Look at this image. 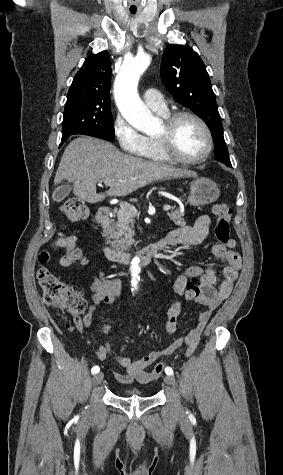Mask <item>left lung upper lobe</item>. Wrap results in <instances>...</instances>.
Masks as SVG:
<instances>
[{"label": "left lung upper lobe", "mask_w": 283, "mask_h": 475, "mask_svg": "<svg viewBox=\"0 0 283 475\" xmlns=\"http://www.w3.org/2000/svg\"><path fill=\"white\" fill-rule=\"evenodd\" d=\"M161 77L173 98L191 109L209 126L213 135L223 134V126L210 78L200 56L188 45L171 44L161 61Z\"/></svg>", "instance_id": "obj_1"}]
</instances>
